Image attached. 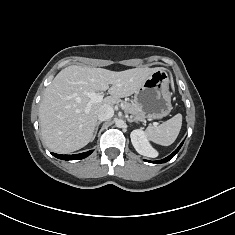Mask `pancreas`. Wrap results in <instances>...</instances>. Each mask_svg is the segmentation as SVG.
Wrapping results in <instances>:
<instances>
[{
	"label": "pancreas",
	"mask_w": 235,
	"mask_h": 235,
	"mask_svg": "<svg viewBox=\"0 0 235 235\" xmlns=\"http://www.w3.org/2000/svg\"><path fill=\"white\" fill-rule=\"evenodd\" d=\"M124 111L132 116L134 121H143L146 117L134 104L124 103Z\"/></svg>",
	"instance_id": "obj_1"
}]
</instances>
